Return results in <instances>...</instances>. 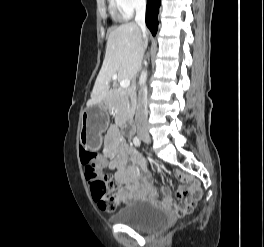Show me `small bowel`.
Here are the masks:
<instances>
[{
    "label": "small bowel",
    "instance_id": "obj_1",
    "mask_svg": "<svg viewBox=\"0 0 264 247\" xmlns=\"http://www.w3.org/2000/svg\"><path fill=\"white\" fill-rule=\"evenodd\" d=\"M99 162L100 166L115 170V179L117 183L122 185L119 196L124 202H131L134 198L143 197L157 199L148 163L125 142L119 127L116 125H111L107 130ZM175 176L186 184L176 192L175 197L177 199L195 194L200 197L201 189L195 178L181 172H176ZM162 194L166 202H172V197L167 188L162 189Z\"/></svg>",
    "mask_w": 264,
    "mask_h": 247
}]
</instances>
